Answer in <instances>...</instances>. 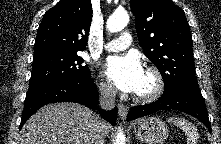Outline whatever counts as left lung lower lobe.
<instances>
[{"label": "left lung lower lobe", "mask_w": 221, "mask_h": 144, "mask_svg": "<svg viewBox=\"0 0 221 144\" xmlns=\"http://www.w3.org/2000/svg\"><path fill=\"white\" fill-rule=\"evenodd\" d=\"M163 109H173L190 114L201 121L211 132L204 98L201 93L189 90L180 89L166 92L153 103L135 106L128 113L127 121H132Z\"/></svg>", "instance_id": "obj_1"}]
</instances>
